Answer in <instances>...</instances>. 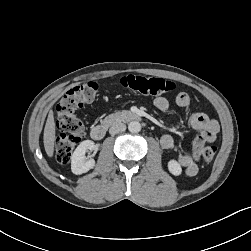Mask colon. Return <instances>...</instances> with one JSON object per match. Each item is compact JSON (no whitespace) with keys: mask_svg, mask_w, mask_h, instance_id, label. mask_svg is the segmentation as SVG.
<instances>
[{"mask_svg":"<svg viewBox=\"0 0 251 251\" xmlns=\"http://www.w3.org/2000/svg\"><path fill=\"white\" fill-rule=\"evenodd\" d=\"M120 85L128 90L144 95H162L172 92L175 84L169 80L139 75L123 76ZM98 85L95 82H85L75 85L65 92L56 106L57 127L60 134L56 140V159L61 164L70 161L72 152L81 141L84 127L77 116V110L92 103L97 95ZM215 146H207L202 151V158L211 162L216 155Z\"/></svg>","mask_w":251,"mask_h":251,"instance_id":"obj_1","label":"colon"}]
</instances>
